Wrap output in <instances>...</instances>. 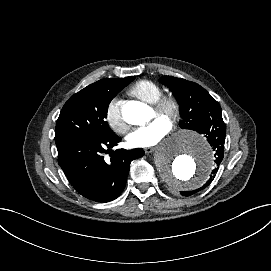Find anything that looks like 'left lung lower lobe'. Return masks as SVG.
Instances as JSON below:
<instances>
[{
	"label": "left lung lower lobe",
	"mask_w": 271,
	"mask_h": 271,
	"mask_svg": "<svg viewBox=\"0 0 271 271\" xmlns=\"http://www.w3.org/2000/svg\"><path fill=\"white\" fill-rule=\"evenodd\" d=\"M199 134H203L209 144L212 146L215 154V164L216 167L212 171V174L208 181L199 189L195 191H181L180 194L182 196H190L204 188H206L214 179L216 172L219 169V165L223 160L224 156V142L226 135V125L222 119V114L216 115L207 121L205 124L201 125L196 130Z\"/></svg>",
	"instance_id": "1"
}]
</instances>
